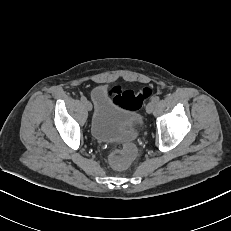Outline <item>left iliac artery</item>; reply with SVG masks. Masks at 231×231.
Segmentation results:
<instances>
[{
    "label": "left iliac artery",
    "mask_w": 231,
    "mask_h": 231,
    "mask_svg": "<svg viewBox=\"0 0 231 231\" xmlns=\"http://www.w3.org/2000/svg\"><path fill=\"white\" fill-rule=\"evenodd\" d=\"M152 100L155 101V102H158L160 100V97L159 96H155V97H153Z\"/></svg>",
    "instance_id": "1"
}]
</instances>
